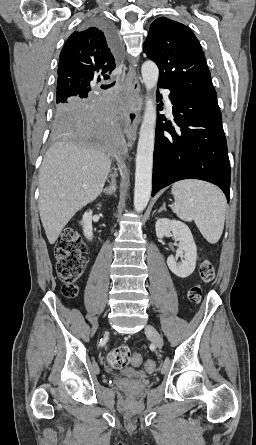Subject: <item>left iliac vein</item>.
<instances>
[{
	"label": "left iliac vein",
	"mask_w": 256,
	"mask_h": 445,
	"mask_svg": "<svg viewBox=\"0 0 256 445\" xmlns=\"http://www.w3.org/2000/svg\"><path fill=\"white\" fill-rule=\"evenodd\" d=\"M145 333L159 349L163 348V339L154 326L147 324Z\"/></svg>",
	"instance_id": "obj_1"
}]
</instances>
